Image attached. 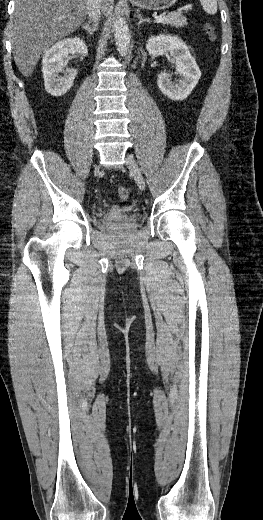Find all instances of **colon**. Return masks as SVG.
Returning a JSON list of instances; mask_svg holds the SVG:
<instances>
[{
  "instance_id": "5ec220e1",
  "label": "colon",
  "mask_w": 263,
  "mask_h": 520,
  "mask_svg": "<svg viewBox=\"0 0 263 520\" xmlns=\"http://www.w3.org/2000/svg\"><path fill=\"white\" fill-rule=\"evenodd\" d=\"M207 34L210 38H214V31L212 27L206 26ZM129 191L126 187H119L117 190V197L120 201H125L128 198Z\"/></svg>"
}]
</instances>
